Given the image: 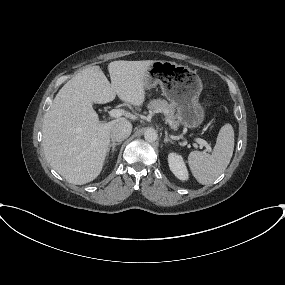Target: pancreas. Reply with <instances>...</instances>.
Here are the masks:
<instances>
[{"mask_svg": "<svg viewBox=\"0 0 285 285\" xmlns=\"http://www.w3.org/2000/svg\"><path fill=\"white\" fill-rule=\"evenodd\" d=\"M153 112H162L165 115V120L170 124L171 128L176 130L179 126L174 115V105L169 104L166 100L154 99L147 106Z\"/></svg>", "mask_w": 285, "mask_h": 285, "instance_id": "cf45deb5", "label": "pancreas"}]
</instances>
